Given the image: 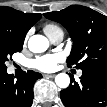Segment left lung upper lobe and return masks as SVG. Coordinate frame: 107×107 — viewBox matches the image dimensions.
<instances>
[{"label":"left lung upper lobe","mask_w":107,"mask_h":107,"mask_svg":"<svg viewBox=\"0 0 107 107\" xmlns=\"http://www.w3.org/2000/svg\"><path fill=\"white\" fill-rule=\"evenodd\" d=\"M50 20L61 23L73 39L67 65L77 69L107 67V17L81 5L45 13Z\"/></svg>","instance_id":"obj_1"}]
</instances>
